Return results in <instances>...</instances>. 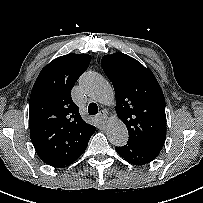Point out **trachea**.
I'll list each match as a JSON object with an SVG mask.
<instances>
[{"instance_id": "obj_1", "label": "trachea", "mask_w": 203, "mask_h": 203, "mask_svg": "<svg viewBox=\"0 0 203 203\" xmlns=\"http://www.w3.org/2000/svg\"><path fill=\"white\" fill-rule=\"evenodd\" d=\"M88 113L90 115H95L98 113V106L96 105V103H90L88 106Z\"/></svg>"}]
</instances>
